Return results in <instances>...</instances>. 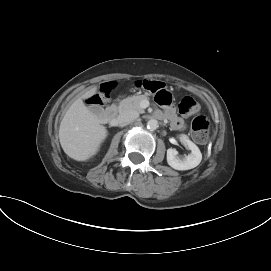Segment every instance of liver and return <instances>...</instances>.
Here are the masks:
<instances>
[{
	"instance_id": "liver-1",
	"label": "liver",
	"mask_w": 271,
	"mask_h": 271,
	"mask_svg": "<svg viewBox=\"0 0 271 271\" xmlns=\"http://www.w3.org/2000/svg\"><path fill=\"white\" fill-rule=\"evenodd\" d=\"M92 87L76 99L66 111L59 128V141L63 151L72 159L86 161L91 158L107 137L106 127L84 104L83 99L96 94Z\"/></svg>"
}]
</instances>
